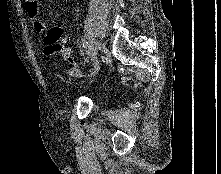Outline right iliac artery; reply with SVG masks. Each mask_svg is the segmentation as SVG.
Returning a JSON list of instances; mask_svg holds the SVG:
<instances>
[{
	"instance_id": "obj_1",
	"label": "right iliac artery",
	"mask_w": 221,
	"mask_h": 174,
	"mask_svg": "<svg viewBox=\"0 0 221 174\" xmlns=\"http://www.w3.org/2000/svg\"><path fill=\"white\" fill-rule=\"evenodd\" d=\"M83 46L87 49V46L85 44H83ZM87 54L89 53V50H86ZM93 66H94V72L90 73V74H81L80 71L77 68H72L70 70V75L72 76H77V77H92L94 75H96L98 69H99V62L98 60H93Z\"/></svg>"
}]
</instances>
